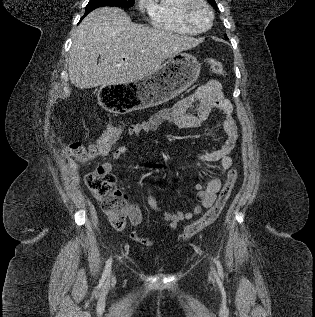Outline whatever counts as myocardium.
Masks as SVG:
<instances>
[{
	"label": "myocardium",
	"mask_w": 315,
	"mask_h": 317,
	"mask_svg": "<svg viewBox=\"0 0 315 317\" xmlns=\"http://www.w3.org/2000/svg\"><path fill=\"white\" fill-rule=\"evenodd\" d=\"M196 5H202L209 13V24L205 28L197 27L192 20V10ZM182 19L185 24L197 33H204L211 29L214 22V12L206 0H187V3L182 8Z\"/></svg>",
	"instance_id": "obj_1"
}]
</instances>
